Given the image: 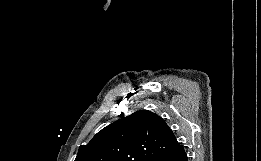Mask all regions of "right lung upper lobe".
Segmentation results:
<instances>
[{"label": "right lung upper lobe", "mask_w": 261, "mask_h": 161, "mask_svg": "<svg viewBox=\"0 0 261 161\" xmlns=\"http://www.w3.org/2000/svg\"><path fill=\"white\" fill-rule=\"evenodd\" d=\"M182 148L157 114L140 110L123 117L81 145L75 161H153Z\"/></svg>", "instance_id": "obj_1"}]
</instances>
